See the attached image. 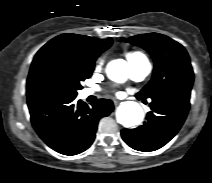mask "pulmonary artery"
<instances>
[{
  "label": "pulmonary artery",
  "mask_w": 212,
  "mask_h": 183,
  "mask_svg": "<svg viewBox=\"0 0 212 183\" xmlns=\"http://www.w3.org/2000/svg\"><path fill=\"white\" fill-rule=\"evenodd\" d=\"M151 68L150 62L145 58L129 62L130 77L135 81H141L149 75ZM93 93L91 89H85L83 91L84 96H89Z\"/></svg>",
  "instance_id": "pulmonary-artery-1"
}]
</instances>
